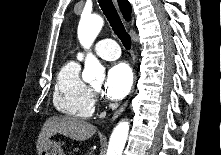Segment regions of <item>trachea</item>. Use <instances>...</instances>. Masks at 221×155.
<instances>
[{"mask_svg": "<svg viewBox=\"0 0 221 155\" xmlns=\"http://www.w3.org/2000/svg\"><path fill=\"white\" fill-rule=\"evenodd\" d=\"M98 2L114 33L120 38L124 47L129 50L131 48V38L126 32L112 0H98Z\"/></svg>", "mask_w": 221, "mask_h": 155, "instance_id": "1", "label": "trachea"}]
</instances>
